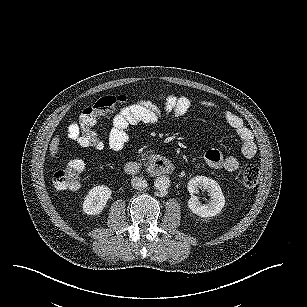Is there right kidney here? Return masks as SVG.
Listing matches in <instances>:
<instances>
[{"mask_svg": "<svg viewBox=\"0 0 307 307\" xmlns=\"http://www.w3.org/2000/svg\"><path fill=\"white\" fill-rule=\"evenodd\" d=\"M111 194L112 190L105 185L93 187L84 198L83 212L88 215L100 214L111 198Z\"/></svg>", "mask_w": 307, "mask_h": 307, "instance_id": "obj_1", "label": "right kidney"}]
</instances>
